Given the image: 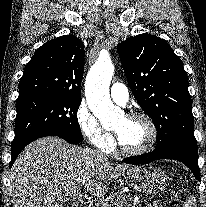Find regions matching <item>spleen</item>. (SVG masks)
<instances>
[{"mask_svg": "<svg viewBox=\"0 0 206 207\" xmlns=\"http://www.w3.org/2000/svg\"><path fill=\"white\" fill-rule=\"evenodd\" d=\"M183 207H197L196 199L194 196H190L186 202L184 203Z\"/></svg>", "mask_w": 206, "mask_h": 207, "instance_id": "3e777b00", "label": "spleen"}]
</instances>
